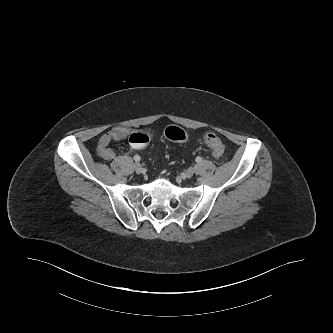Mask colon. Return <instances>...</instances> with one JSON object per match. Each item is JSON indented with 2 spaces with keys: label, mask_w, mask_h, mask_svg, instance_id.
<instances>
[{
  "label": "colon",
  "mask_w": 333,
  "mask_h": 333,
  "mask_svg": "<svg viewBox=\"0 0 333 333\" xmlns=\"http://www.w3.org/2000/svg\"><path fill=\"white\" fill-rule=\"evenodd\" d=\"M165 136L166 138L177 142H183L187 139L186 132L177 126L167 127L165 129ZM150 140L151 134L148 130L135 131L129 137V149L135 153L141 152L150 142ZM205 142L215 157H220L223 155L225 146L219 136L213 133H209L205 137Z\"/></svg>",
  "instance_id": "5ec220e1"
}]
</instances>
